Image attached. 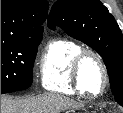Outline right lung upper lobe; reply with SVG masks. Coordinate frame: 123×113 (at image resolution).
I'll return each mask as SVG.
<instances>
[{"label":"right lung upper lobe","instance_id":"right-lung-upper-lobe-1","mask_svg":"<svg viewBox=\"0 0 123 113\" xmlns=\"http://www.w3.org/2000/svg\"><path fill=\"white\" fill-rule=\"evenodd\" d=\"M46 0H1V41L42 37Z\"/></svg>","mask_w":123,"mask_h":113}]
</instances>
